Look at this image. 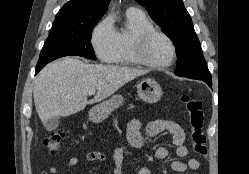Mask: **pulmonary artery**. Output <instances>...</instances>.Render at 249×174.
<instances>
[{"label":"pulmonary artery","mask_w":249,"mask_h":174,"mask_svg":"<svg viewBox=\"0 0 249 174\" xmlns=\"http://www.w3.org/2000/svg\"><path fill=\"white\" fill-rule=\"evenodd\" d=\"M130 10H131V11H138V10H136V9H134V8H131Z\"/></svg>","instance_id":"1"}]
</instances>
